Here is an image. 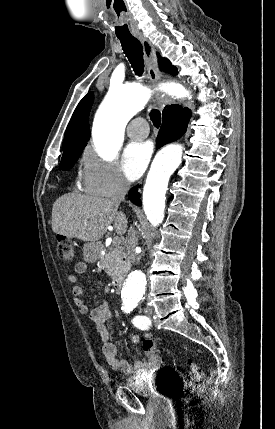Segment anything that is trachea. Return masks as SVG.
Here are the masks:
<instances>
[{
	"label": "trachea",
	"instance_id": "trachea-1",
	"mask_svg": "<svg viewBox=\"0 0 275 429\" xmlns=\"http://www.w3.org/2000/svg\"><path fill=\"white\" fill-rule=\"evenodd\" d=\"M122 49L128 58L136 75L141 76L144 72L143 49L139 40L135 37H119ZM150 119L156 128L161 124V113L158 109H152L149 113Z\"/></svg>",
	"mask_w": 275,
	"mask_h": 429
}]
</instances>
